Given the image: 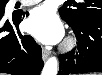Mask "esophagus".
<instances>
[{
	"mask_svg": "<svg viewBox=\"0 0 102 75\" xmlns=\"http://www.w3.org/2000/svg\"><path fill=\"white\" fill-rule=\"evenodd\" d=\"M49 55H50V52L48 51V50H46V49H42V59L44 60V61H46L47 60V58L49 57Z\"/></svg>",
	"mask_w": 102,
	"mask_h": 75,
	"instance_id": "esophagus-1",
	"label": "esophagus"
}]
</instances>
